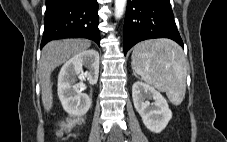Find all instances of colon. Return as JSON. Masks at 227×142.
<instances>
[{
    "instance_id": "obj_1",
    "label": "colon",
    "mask_w": 227,
    "mask_h": 142,
    "mask_svg": "<svg viewBox=\"0 0 227 142\" xmlns=\"http://www.w3.org/2000/svg\"><path fill=\"white\" fill-rule=\"evenodd\" d=\"M74 124H75L74 120L63 121L60 124L59 132L61 134H64V133H67V132L71 131V129L73 128Z\"/></svg>"
}]
</instances>
